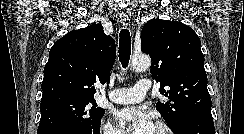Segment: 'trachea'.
I'll list each match as a JSON object with an SVG mask.
<instances>
[{"label":"trachea","instance_id":"trachea-1","mask_svg":"<svg viewBox=\"0 0 244 134\" xmlns=\"http://www.w3.org/2000/svg\"><path fill=\"white\" fill-rule=\"evenodd\" d=\"M119 59L123 68H127L131 55V37L128 29H122L119 34Z\"/></svg>","mask_w":244,"mask_h":134}]
</instances>
